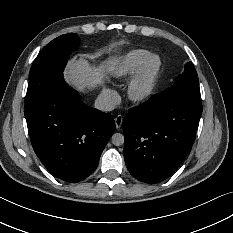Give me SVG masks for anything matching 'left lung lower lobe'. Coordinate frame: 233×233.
<instances>
[{
	"instance_id": "left-lung-lower-lobe-1",
	"label": "left lung lower lobe",
	"mask_w": 233,
	"mask_h": 233,
	"mask_svg": "<svg viewBox=\"0 0 233 233\" xmlns=\"http://www.w3.org/2000/svg\"><path fill=\"white\" fill-rule=\"evenodd\" d=\"M202 114L200 100L152 95L126 114L124 159L136 179L158 183L183 161L195 141Z\"/></svg>"
}]
</instances>
